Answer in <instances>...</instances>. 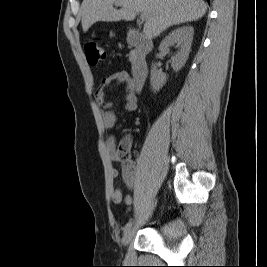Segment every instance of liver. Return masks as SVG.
<instances>
[{"label": "liver", "mask_w": 267, "mask_h": 267, "mask_svg": "<svg viewBox=\"0 0 267 267\" xmlns=\"http://www.w3.org/2000/svg\"><path fill=\"white\" fill-rule=\"evenodd\" d=\"M113 4L121 9L116 10ZM206 10L203 0H83L82 28L87 32L97 21H132L141 12L147 15L143 33L152 39L172 25L200 19Z\"/></svg>", "instance_id": "6515ba94"}]
</instances>
